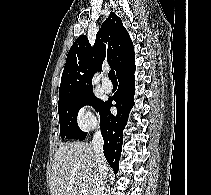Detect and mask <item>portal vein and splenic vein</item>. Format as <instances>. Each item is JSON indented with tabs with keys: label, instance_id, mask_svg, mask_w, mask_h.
Instances as JSON below:
<instances>
[{
	"label": "portal vein and splenic vein",
	"instance_id": "portal-vein-and-splenic-vein-1",
	"mask_svg": "<svg viewBox=\"0 0 211 195\" xmlns=\"http://www.w3.org/2000/svg\"><path fill=\"white\" fill-rule=\"evenodd\" d=\"M82 195H87L85 190L82 191Z\"/></svg>",
	"mask_w": 211,
	"mask_h": 195
}]
</instances>
